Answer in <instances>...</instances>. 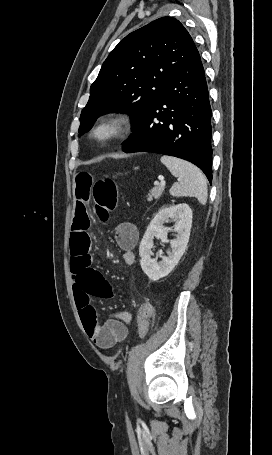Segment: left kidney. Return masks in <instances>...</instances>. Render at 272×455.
<instances>
[{"label": "left kidney", "mask_w": 272, "mask_h": 455, "mask_svg": "<svg viewBox=\"0 0 272 455\" xmlns=\"http://www.w3.org/2000/svg\"><path fill=\"white\" fill-rule=\"evenodd\" d=\"M169 219L175 221L174 231L177 233V237L170 241L172 252L168 253V256H162V251H159L162 261L158 263L156 259L151 258L153 239L159 238L162 242H169L168 229L164 227V223ZM191 227L192 210L187 204L164 207L154 216L139 247L140 265L150 280L157 281L167 276L178 264L187 248Z\"/></svg>", "instance_id": "obj_1"}]
</instances>
